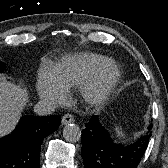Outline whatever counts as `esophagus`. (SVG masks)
<instances>
[{"instance_id": "esophagus-1", "label": "esophagus", "mask_w": 168, "mask_h": 168, "mask_svg": "<svg viewBox=\"0 0 168 168\" xmlns=\"http://www.w3.org/2000/svg\"><path fill=\"white\" fill-rule=\"evenodd\" d=\"M62 125H67L74 122V117L71 114H65L62 117Z\"/></svg>"}]
</instances>
